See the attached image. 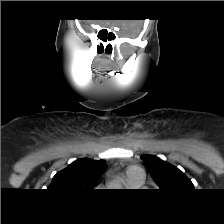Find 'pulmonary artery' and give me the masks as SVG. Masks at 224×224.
<instances>
[{"mask_svg":"<svg viewBox=\"0 0 224 224\" xmlns=\"http://www.w3.org/2000/svg\"><path fill=\"white\" fill-rule=\"evenodd\" d=\"M127 181L134 185L140 186L143 183V172L136 167H131L127 170Z\"/></svg>","mask_w":224,"mask_h":224,"instance_id":"pulmonary-artery-1","label":"pulmonary artery"}]
</instances>
